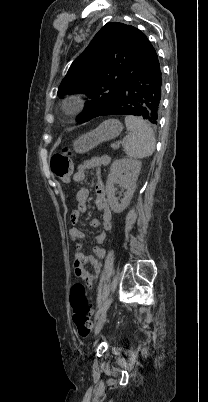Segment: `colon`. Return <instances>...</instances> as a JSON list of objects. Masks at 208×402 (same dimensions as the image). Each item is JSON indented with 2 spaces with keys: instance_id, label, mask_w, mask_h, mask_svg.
<instances>
[{
  "instance_id": "5ec220e1",
  "label": "colon",
  "mask_w": 208,
  "mask_h": 402,
  "mask_svg": "<svg viewBox=\"0 0 208 402\" xmlns=\"http://www.w3.org/2000/svg\"><path fill=\"white\" fill-rule=\"evenodd\" d=\"M52 173L60 180L68 182L72 176L71 152L64 147L55 153L50 160ZM71 306L73 309V321L81 337L89 336L91 332V305L87 299L83 284L76 282L71 288Z\"/></svg>"
}]
</instances>
